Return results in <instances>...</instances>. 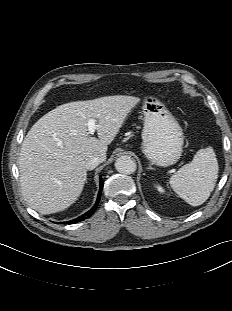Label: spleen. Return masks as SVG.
I'll use <instances>...</instances> for the list:
<instances>
[{"label":"spleen","mask_w":232,"mask_h":311,"mask_svg":"<svg viewBox=\"0 0 232 311\" xmlns=\"http://www.w3.org/2000/svg\"><path fill=\"white\" fill-rule=\"evenodd\" d=\"M218 162L212 147L200 149L193 160L170 178L171 188L188 204H203L213 191L218 178Z\"/></svg>","instance_id":"1"}]
</instances>
